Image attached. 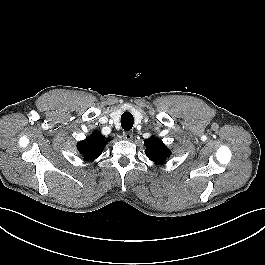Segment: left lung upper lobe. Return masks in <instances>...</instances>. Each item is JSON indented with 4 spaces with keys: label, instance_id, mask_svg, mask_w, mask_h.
<instances>
[{
    "label": "left lung upper lobe",
    "instance_id": "obj_1",
    "mask_svg": "<svg viewBox=\"0 0 265 265\" xmlns=\"http://www.w3.org/2000/svg\"><path fill=\"white\" fill-rule=\"evenodd\" d=\"M146 156L157 164H162L171 155L170 150L164 145L162 140L152 136L144 141Z\"/></svg>",
    "mask_w": 265,
    "mask_h": 265
}]
</instances>
